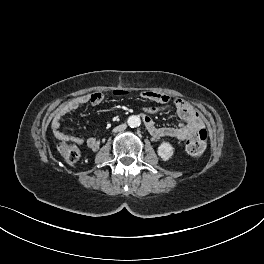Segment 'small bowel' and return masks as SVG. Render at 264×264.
<instances>
[{
  "instance_id": "1",
  "label": "small bowel",
  "mask_w": 264,
  "mask_h": 264,
  "mask_svg": "<svg viewBox=\"0 0 264 264\" xmlns=\"http://www.w3.org/2000/svg\"><path fill=\"white\" fill-rule=\"evenodd\" d=\"M97 95V99L93 97ZM142 96L151 101L165 104L169 101V98L161 93L144 91ZM103 94L95 93L92 95H85L81 97L74 98L64 104H62L56 111L52 120V129L55 136L59 139L70 140L76 144L84 145L86 144L91 150L96 151L99 149L100 142L94 138L90 137L88 139H83L75 135L65 134L61 131V120L62 118L72 112L77 110L84 104H98L103 99ZM176 111L180 119L182 120L175 126H157L152 118V115L158 112L155 107L145 108L142 114V119L150 135L156 139L171 137L178 140H185L190 138L195 132L203 127V122L199 114L194 110V108L188 103L178 99L174 102Z\"/></svg>"
}]
</instances>
